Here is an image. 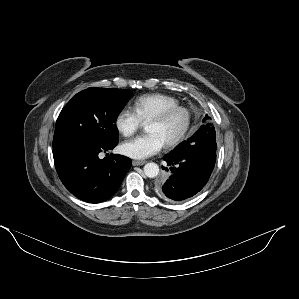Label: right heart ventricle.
Returning a JSON list of instances; mask_svg holds the SVG:
<instances>
[{"label": "right heart ventricle", "mask_w": 299, "mask_h": 299, "mask_svg": "<svg viewBox=\"0 0 299 299\" xmlns=\"http://www.w3.org/2000/svg\"><path fill=\"white\" fill-rule=\"evenodd\" d=\"M177 105L179 101L171 95L150 93L137 97L133 102V110L142 122H147L164 109Z\"/></svg>", "instance_id": "1"}]
</instances>
